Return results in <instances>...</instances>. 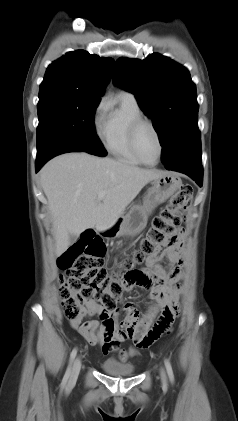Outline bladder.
Here are the masks:
<instances>
[{
  "label": "bladder",
  "mask_w": 238,
  "mask_h": 421,
  "mask_svg": "<svg viewBox=\"0 0 238 421\" xmlns=\"http://www.w3.org/2000/svg\"><path fill=\"white\" fill-rule=\"evenodd\" d=\"M103 371L111 376L125 377L131 376L135 372L132 364H122L112 359H106L101 363Z\"/></svg>",
  "instance_id": "31cf9c89"
}]
</instances>
